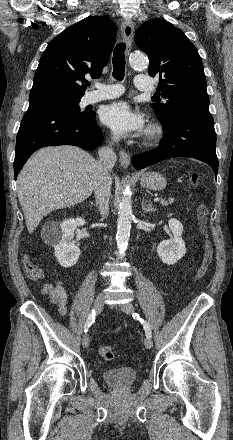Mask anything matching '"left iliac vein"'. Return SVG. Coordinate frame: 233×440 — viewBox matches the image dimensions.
Listing matches in <instances>:
<instances>
[{"instance_id": "4c4485c4", "label": "left iliac vein", "mask_w": 233, "mask_h": 440, "mask_svg": "<svg viewBox=\"0 0 233 440\" xmlns=\"http://www.w3.org/2000/svg\"><path fill=\"white\" fill-rule=\"evenodd\" d=\"M119 308L127 314H132V312L134 311V306L131 303L120 305ZM144 345L147 349H151L153 346L151 338L146 337L144 340Z\"/></svg>"}]
</instances>
